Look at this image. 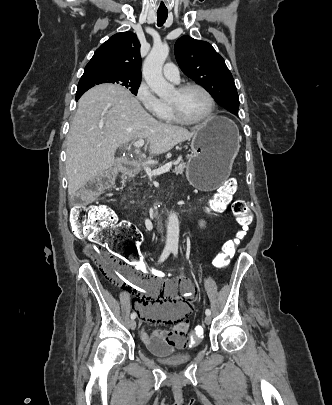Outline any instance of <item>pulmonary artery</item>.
Listing matches in <instances>:
<instances>
[{
	"label": "pulmonary artery",
	"mask_w": 332,
	"mask_h": 405,
	"mask_svg": "<svg viewBox=\"0 0 332 405\" xmlns=\"http://www.w3.org/2000/svg\"><path fill=\"white\" fill-rule=\"evenodd\" d=\"M163 74L168 80L179 82V70L175 64L167 63L163 68Z\"/></svg>",
	"instance_id": "obj_1"
}]
</instances>
